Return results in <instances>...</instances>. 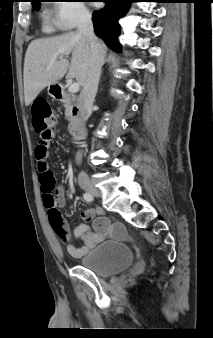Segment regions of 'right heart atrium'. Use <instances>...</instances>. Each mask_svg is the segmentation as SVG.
Instances as JSON below:
<instances>
[{
  "mask_svg": "<svg viewBox=\"0 0 213 338\" xmlns=\"http://www.w3.org/2000/svg\"><path fill=\"white\" fill-rule=\"evenodd\" d=\"M90 18L87 8L81 2L65 1L55 6V15L50 22L68 30L86 23Z\"/></svg>",
  "mask_w": 213,
  "mask_h": 338,
  "instance_id": "right-heart-atrium-1",
  "label": "right heart atrium"
}]
</instances>
